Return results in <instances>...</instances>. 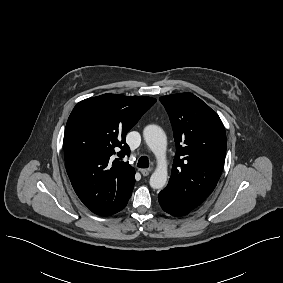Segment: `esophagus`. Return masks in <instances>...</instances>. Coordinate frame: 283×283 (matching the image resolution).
<instances>
[{"label": "esophagus", "mask_w": 283, "mask_h": 283, "mask_svg": "<svg viewBox=\"0 0 283 283\" xmlns=\"http://www.w3.org/2000/svg\"><path fill=\"white\" fill-rule=\"evenodd\" d=\"M143 176H148L150 174V169H140Z\"/></svg>", "instance_id": "34e87169"}]
</instances>
